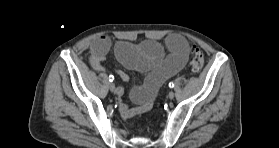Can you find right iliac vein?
Returning <instances> with one entry per match:
<instances>
[{
  "label": "right iliac vein",
  "instance_id": "right-iliac-vein-1",
  "mask_svg": "<svg viewBox=\"0 0 279 148\" xmlns=\"http://www.w3.org/2000/svg\"><path fill=\"white\" fill-rule=\"evenodd\" d=\"M109 89L112 91V92H115L116 91V87H115V84L114 83H109Z\"/></svg>",
  "mask_w": 279,
  "mask_h": 148
}]
</instances>
